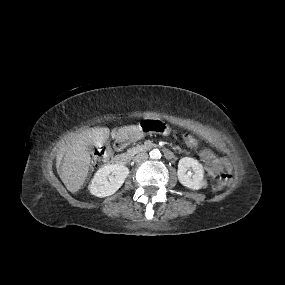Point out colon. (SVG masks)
Wrapping results in <instances>:
<instances>
[{"label":"colon","mask_w":285,"mask_h":285,"mask_svg":"<svg viewBox=\"0 0 285 285\" xmlns=\"http://www.w3.org/2000/svg\"><path fill=\"white\" fill-rule=\"evenodd\" d=\"M182 141L185 143L186 147L193 148L196 145V140L193 138L192 134L185 133L182 136ZM110 160V154L106 150H101L97 153L95 158V163L97 165L105 164ZM231 182V176L227 172H223L216 177L214 183V190H221L224 187L228 186Z\"/></svg>","instance_id":"5ec220e1"}]
</instances>
